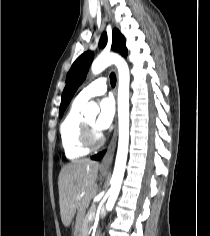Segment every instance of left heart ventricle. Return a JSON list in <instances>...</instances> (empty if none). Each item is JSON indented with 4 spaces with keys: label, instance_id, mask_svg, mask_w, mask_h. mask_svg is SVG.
Listing matches in <instances>:
<instances>
[{
    "label": "left heart ventricle",
    "instance_id": "1",
    "mask_svg": "<svg viewBox=\"0 0 210 236\" xmlns=\"http://www.w3.org/2000/svg\"><path fill=\"white\" fill-rule=\"evenodd\" d=\"M86 120H87L88 123H90L91 125H94V122H95V118H94V117L87 118Z\"/></svg>",
    "mask_w": 210,
    "mask_h": 236
}]
</instances>
